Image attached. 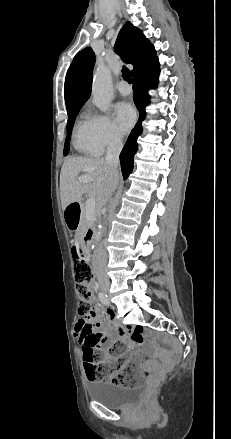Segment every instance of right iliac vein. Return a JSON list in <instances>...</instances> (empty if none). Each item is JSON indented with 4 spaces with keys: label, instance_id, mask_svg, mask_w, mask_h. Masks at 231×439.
I'll return each mask as SVG.
<instances>
[{
    "label": "right iliac vein",
    "instance_id": "obj_1",
    "mask_svg": "<svg viewBox=\"0 0 231 439\" xmlns=\"http://www.w3.org/2000/svg\"><path fill=\"white\" fill-rule=\"evenodd\" d=\"M108 288H109V285H106V286L104 287L105 291H107Z\"/></svg>",
    "mask_w": 231,
    "mask_h": 439
}]
</instances>
